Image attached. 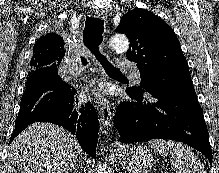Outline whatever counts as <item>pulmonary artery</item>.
I'll return each instance as SVG.
<instances>
[{"label":"pulmonary artery","instance_id":"e3ab8cb5","mask_svg":"<svg viewBox=\"0 0 219 173\" xmlns=\"http://www.w3.org/2000/svg\"><path fill=\"white\" fill-rule=\"evenodd\" d=\"M118 69L122 71H126L130 73V76L133 80L135 81H140L141 79V73L139 69L134 65V63L126 60V59H119L118 60ZM80 69H74V74L79 75L80 74Z\"/></svg>","mask_w":219,"mask_h":173}]
</instances>
